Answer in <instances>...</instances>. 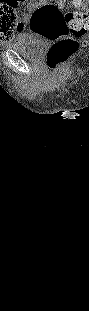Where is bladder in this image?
Returning a JSON list of instances; mask_svg holds the SVG:
<instances>
[{
  "label": "bladder",
  "mask_w": 89,
  "mask_h": 311,
  "mask_svg": "<svg viewBox=\"0 0 89 311\" xmlns=\"http://www.w3.org/2000/svg\"><path fill=\"white\" fill-rule=\"evenodd\" d=\"M9 48L28 60H36L43 54V44L32 37H25L22 41L12 43Z\"/></svg>",
  "instance_id": "31cf9c89"
}]
</instances>
